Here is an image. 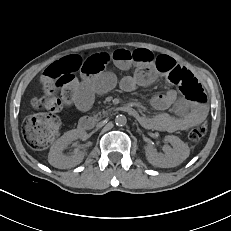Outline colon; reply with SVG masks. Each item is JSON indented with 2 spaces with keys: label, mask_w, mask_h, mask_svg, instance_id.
<instances>
[{
  "label": "colon",
  "mask_w": 231,
  "mask_h": 231,
  "mask_svg": "<svg viewBox=\"0 0 231 231\" xmlns=\"http://www.w3.org/2000/svg\"><path fill=\"white\" fill-rule=\"evenodd\" d=\"M73 79L72 72L63 63L57 61L51 64L42 74L40 85L41 95L32 100V105L38 109H46L49 113H39L25 124L24 137L27 144L34 150H43L51 145L60 130V120L56 113L61 111L63 101L71 99L70 85ZM182 92L192 100L205 102L206 96L202 87L191 72L186 70L174 71L170 77ZM206 133L204 124L193 127L188 137L191 141H199Z\"/></svg>",
  "instance_id": "colon-1"
}]
</instances>
